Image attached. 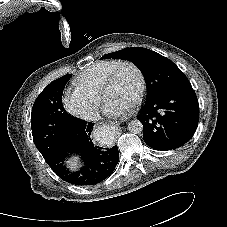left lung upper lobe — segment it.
Here are the masks:
<instances>
[{
	"instance_id": "5c2ea615",
	"label": "left lung upper lobe",
	"mask_w": 227,
	"mask_h": 227,
	"mask_svg": "<svg viewBox=\"0 0 227 227\" xmlns=\"http://www.w3.org/2000/svg\"><path fill=\"white\" fill-rule=\"evenodd\" d=\"M126 59L142 72L146 86V101L174 89L191 86L184 73L168 58L146 48H125L102 57Z\"/></svg>"
}]
</instances>
